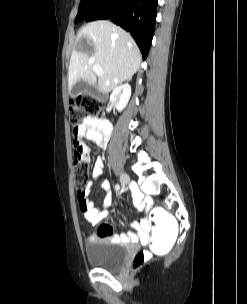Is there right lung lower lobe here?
<instances>
[{
	"mask_svg": "<svg viewBox=\"0 0 247 304\" xmlns=\"http://www.w3.org/2000/svg\"><path fill=\"white\" fill-rule=\"evenodd\" d=\"M157 15V0H104L87 19H111L129 31L143 55L147 57L151 45Z\"/></svg>",
	"mask_w": 247,
	"mask_h": 304,
	"instance_id": "98d812e1",
	"label": "right lung lower lobe"
}]
</instances>
